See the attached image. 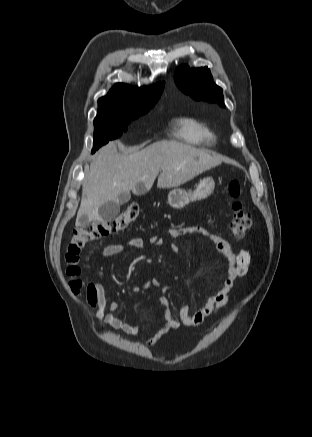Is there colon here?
<instances>
[{"label":"colon","instance_id":"1","mask_svg":"<svg viewBox=\"0 0 312 437\" xmlns=\"http://www.w3.org/2000/svg\"><path fill=\"white\" fill-rule=\"evenodd\" d=\"M228 193L234 200L230 232L233 237L242 238L250 230L252 220L240 200L241 185L238 180H232L229 183ZM139 212V205L136 202H131L118 215L109 219H95L74 231L65 252V260L68 264L66 270L68 284L73 294H81L86 288V282L80 277L81 269L78 265L84 246L91 241L123 230L138 217Z\"/></svg>","mask_w":312,"mask_h":437}]
</instances>
